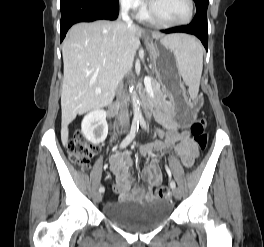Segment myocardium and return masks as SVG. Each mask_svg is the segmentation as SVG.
Instances as JSON below:
<instances>
[{"mask_svg": "<svg viewBox=\"0 0 264 247\" xmlns=\"http://www.w3.org/2000/svg\"><path fill=\"white\" fill-rule=\"evenodd\" d=\"M188 4V15L185 19L181 21H167L161 18L156 14L154 11L153 7L151 4L148 5L147 8V14L149 17L156 22L157 24L164 26V27H179V26H185L191 23V21L194 18V12H195V7H194V1L193 0H187Z\"/></svg>", "mask_w": 264, "mask_h": 247, "instance_id": "myocardium-1", "label": "myocardium"}]
</instances>
